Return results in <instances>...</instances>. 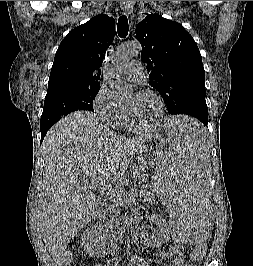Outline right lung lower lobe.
<instances>
[{
	"label": "right lung lower lobe",
	"mask_w": 253,
	"mask_h": 266,
	"mask_svg": "<svg viewBox=\"0 0 253 266\" xmlns=\"http://www.w3.org/2000/svg\"><path fill=\"white\" fill-rule=\"evenodd\" d=\"M41 130V143L47 133V131L49 130V128H44V129H40Z\"/></svg>",
	"instance_id": "1"
}]
</instances>
